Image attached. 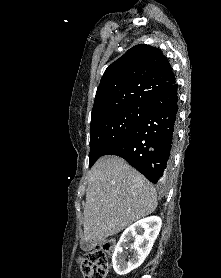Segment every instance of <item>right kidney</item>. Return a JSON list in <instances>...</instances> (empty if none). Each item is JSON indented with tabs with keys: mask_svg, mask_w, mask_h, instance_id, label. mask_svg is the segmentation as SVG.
Listing matches in <instances>:
<instances>
[{
	"mask_svg": "<svg viewBox=\"0 0 221 278\" xmlns=\"http://www.w3.org/2000/svg\"><path fill=\"white\" fill-rule=\"evenodd\" d=\"M161 224L160 217L150 216L137 221L123 232L112 256L113 268L118 275H126L144 262L159 234ZM127 246H131L132 252L128 261L123 253V248Z\"/></svg>",
	"mask_w": 221,
	"mask_h": 278,
	"instance_id": "right-kidney-1",
	"label": "right kidney"
}]
</instances>
